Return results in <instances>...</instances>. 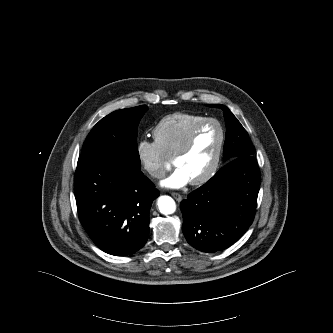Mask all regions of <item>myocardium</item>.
Masks as SVG:
<instances>
[{"label": "myocardium", "mask_w": 333, "mask_h": 333, "mask_svg": "<svg viewBox=\"0 0 333 333\" xmlns=\"http://www.w3.org/2000/svg\"><path fill=\"white\" fill-rule=\"evenodd\" d=\"M208 124L217 125V127L219 129V132H220V141H219L218 150H217L215 159H214L211 167L209 168V170L206 173H204L201 177L190 181V183L192 185H195V186H199V185H203V184L207 183L210 179H212L215 176V174L217 173V171L220 167L222 157H223L225 142H226V133H225V129H224L222 123L219 120L215 119V118H205L201 122L197 123L190 130V132L188 133L184 142L177 149V151L174 153V157H173V162H174L180 156H183V155L187 154L191 150V148L194 144L197 133L204 126H206Z\"/></svg>", "instance_id": "myocardium-1"}]
</instances>
